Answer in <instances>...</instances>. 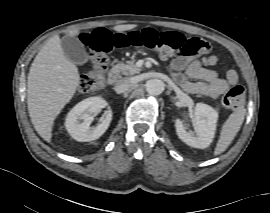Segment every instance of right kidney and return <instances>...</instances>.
Returning a JSON list of instances; mask_svg holds the SVG:
<instances>
[{
	"label": "right kidney",
	"mask_w": 270,
	"mask_h": 213,
	"mask_svg": "<svg viewBox=\"0 0 270 213\" xmlns=\"http://www.w3.org/2000/svg\"><path fill=\"white\" fill-rule=\"evenodd\" d=\"M107 105L108 103L101 97H90L79 102L66 117L65 127L68 133L79 142L98 139L108 129L112 111L108 110L102 122L96 127H90V124L100 109Z\"/></svg>",
	"instance_id": "ca27d5eb"
}]
</instances>
